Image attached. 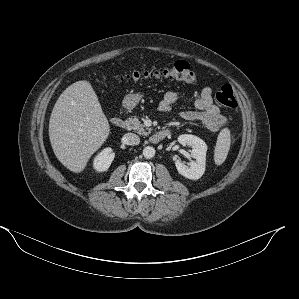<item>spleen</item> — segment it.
<instances>
[{
    "mask_svg": "<svg viewBox=\"0 0 299 299\" xmlns=\"http://www.w3.org/2000/svg\"><path fill=\"white\" fill-rule=\"evenodd\" d=\"M231 145L230 130L223 128L217 138L215 150H214V161L216 165H221L227 158Z\"/></svg>",
    "mask_w": 299,
    "mask_h": 299,
    "instance_id": "spleen-1",
    "label": "spleen"
}]
</instances>
